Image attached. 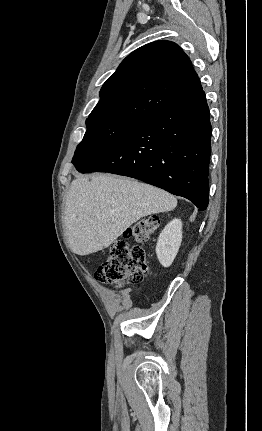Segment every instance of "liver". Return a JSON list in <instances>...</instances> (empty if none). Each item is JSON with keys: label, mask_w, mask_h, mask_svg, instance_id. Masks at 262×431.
Wrapping results in <instances>:
<instances>
[{"label": "liver", "mask_w": 262, "mask_h": 431, "mask_svg": "<svg viewBox=\"0 0 262 431\" xmlns=\"http://www.w3.org/2000/svg\"><path fill=\"white\" fill-rule=\"evenodd\" d=\"M177 199L168 192L125 177L96 174L72 181L66 197L65 229L75 254L110 246L140 218L168 212Z\"/></svg>", "instance_id": "6515ba94"}]
</instances>
